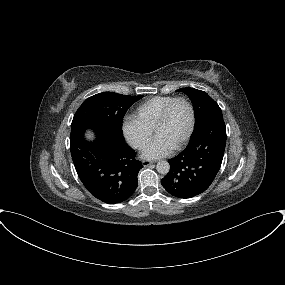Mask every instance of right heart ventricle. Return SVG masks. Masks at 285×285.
Returning <instances> with one entry per match:
<instances>
[{
    "label": "right heart ventricle",
    "instance_id": "e07e8e85",
    "mask_svg": "<svg viewBox=\"0 0 285 285\" xmlns=\"http://www.w3.org/2000/svg\"><path fill=\"white\" fill-rule=\"evenodd\" d=\"M174 98L173 96H155L149 98L137 105L134 116L147 128L153 130L161 112Z\"/></svg>",
    "mask_w": 285,
    "mask_h": 285
}]
</instances>
